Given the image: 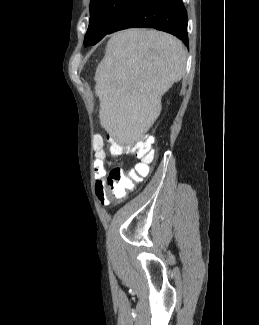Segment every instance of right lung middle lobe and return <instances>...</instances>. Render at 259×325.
Returning a JSON list of instances; mask_svg holds the SVG:
<instances>
[{
	"label": "right lung middle lobe",
	"mask_w": 259,
	"mask_h": 325,
	"mask_svg": "<svg viewBox=\"0 0 259 325\" xmlns=\"http://www.w3.org/2000/svg\"><path fill=\"white\" fill-rule=\"evenodd\" d=\"M131 0H91L89 27L84 45H94L109 31L112 24Z\"/></svg>",
	"instance_id": "right-lung-middle-lobe-1"
}]
</instances>
